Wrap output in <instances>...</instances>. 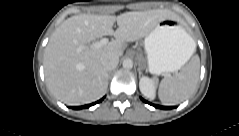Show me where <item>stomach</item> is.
I'll list each match as a JSON object with an SVG mask.
<instances>
[{"label": "stomach", "instance_id": "0dacf381", "mask_svg": "<svg viewBox=\"0 0 239 136\" xmlns=\"http://www.w3.org/2000/svg\"><path fill=\"white\" fill-rule=\"evenodd\" d=\"M192 38L178 18L160 21L145 37L147 66L152 74L179 70L191 55Z\"/></svg>", "mask_w": 239, "mask_h": 136}]
</instances>
